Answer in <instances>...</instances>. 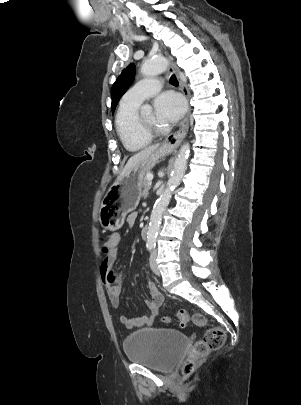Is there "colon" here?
Segmentation results:
<instances>
[{"label":"colon","mask_w":301,"mask_h":405,"mask_svg":"<svg viewBox=\"0 0 301 405\" xmlns=\"http://www.w3.org/2000/svg\"><path fill=\"white\" fill-rule=\"evenodd\" d=\"M106 238H112L113 232L106 231ZM108 241V240H107ZM105 242L103 251L107 252L109 249L108 242ZM181 325H185L190 318L193 323L197 326L203 327L206 325V319L201 314H194L192 317L189 316L188 312L184 309L179 310L174 317ZM172 317H164L163 321L169 323L172 321ZM225 341V332L220 327L209 328L204 337L201 340L196 341L191 347L187 358L182 364L181 371L184 376L190 375L196 368L198 362L206 357L209 352L217 350L222 347Z\"/></svg>","instance_id":"colon-1"}]
</instances>
